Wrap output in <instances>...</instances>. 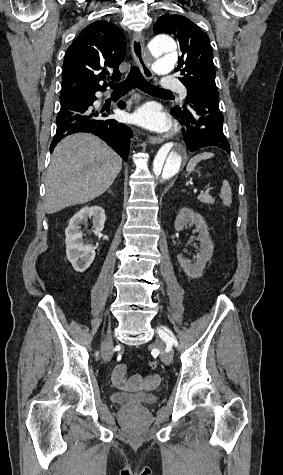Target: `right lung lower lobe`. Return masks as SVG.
Returning <instances> with one entry per match:
<instances>
[{"label": "right lung lower lobe", "mask_w": 283, "mask_h": 475, "mask_svg": "<svg viewBox=\"0 0 283 475\" xmlns=\"http://www.w3.org/2000/svg\"><path fill=\"white\" fill-rule=\"evenodd\" d=\"M95 100L97 97L93 91L60 100L61 109L57 115V129L50 146L51 152L64 137L77 132H87L103 139L124 160H127L132 131L126 125L106 118L107 113L93 109L91 106ZM117 106L125 108V103L120 101Z\"/></svg>", "instance_id": "98d812e1"}]
</instances>
